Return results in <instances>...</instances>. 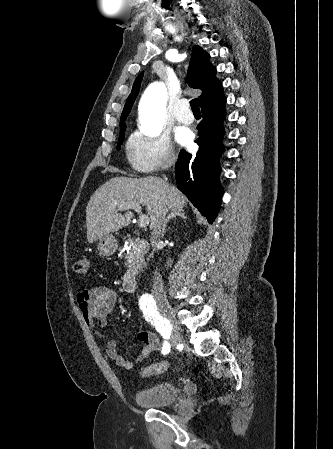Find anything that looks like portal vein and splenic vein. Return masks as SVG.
Returning a JSON list of instances; mask_svg holds the SVG:
<instances>
[{"mask_svg":"<svg viewBox=\"0 0 333 449\" xmlns=\"http://www.w3.org/2000/svg\"><path fill=\"white\" fill-rule=\"evenodd\" d=\"M119 210H127V209H133L135 212H137L138 214H140L139 216V220H138V225L141 228H146V226H148L149 224V217L142 214L141 212V206L140 204L136 203V202H128L124 205L119 206L118 208Z\"/></svg>","mask_w":333,"mask_h":449,"instance_id":"1","label":"portal vein and splenic vein"}]
</instances>
